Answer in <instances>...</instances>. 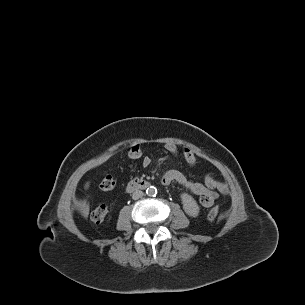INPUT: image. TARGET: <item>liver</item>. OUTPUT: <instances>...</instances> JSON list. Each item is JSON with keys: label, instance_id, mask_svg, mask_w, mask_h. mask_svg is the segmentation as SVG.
I'll return each mask as SVG.
<instances>
[{"label": "liver", "instance_id": "liver-1", "mask_svg": "<svg viewBox=\"0 0 305 305\" xmlns=\"http://www.w3.org/2000/svg\"><path fill=\"white\" fill-rule=\"evenodd\" d=\"M88 186H89V184H88V183H86V184H85V187L87 188Z\"/></svg>", "mask_w": 305, "mask_h": 305}]
</instances>
